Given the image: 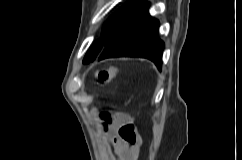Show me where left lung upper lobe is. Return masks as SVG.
Masks as SVG:
<instances>
[{
  "label": "left lung upper lobe",
  "instance_id": "1",
  "mask_svg": "<svg viewBox=\"0 0 242 160\" xmlns=\"http://www.w3.org/2000/svg\"><path fill=\"white\" fill-rule=\"evenodd\" d=\"M150 6L146 0H128L103 26L102 38L97 40L87 52L83 63L98 57L104 46L124 28L131 25Z\"/></svg>",
  "mask_w": 242,
  "mask_h": 160
}]
</instances>
